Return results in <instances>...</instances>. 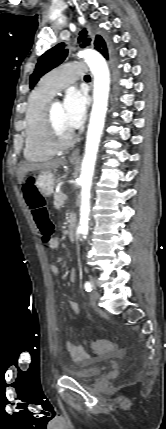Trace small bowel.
Masks as SVG:
<instances>
[{"label":"small bowel","mask_w":166,"mask_h":429,"mask_svg":"<svg viewBox=\"0 0 166 429\" xmlns=\"http://www.w3.org/2000/svg\"><path fill=\"white\" fill-rule=\"evenodd\" d=\"M48 246L51 249H57L59 247V241L56 238H53L48 242ZM50 270L53 274H56V275L60 273V268L55 264L50 265ZM69 279L71 282L76 281V271L74 269L70 270ZM69 303H70L71 309L77 315H80L81 310H80L79 305L74 300H70ZM65 348L68 351L72 360L77 362V363H80L82 365H86V364H89L90 362L94 361L90 357L89 353L87 352V349L82 345H76L70 341H67L65 343Z\"/></svg>","instance_id":"small-bowel-1"}]
</instances>
